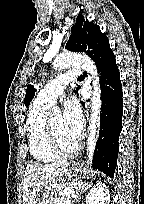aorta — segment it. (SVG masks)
<instances>
[{
	"instance_id": "obj_1",
	"label": "aorta",
	"mask_w": 144,
	"mask_h": 204,
	"mask_svg": "<svg viewBox=\"0 0 144 204\" xmlns=\"http://www.w3.org/2000/svg\"><path fill=\"white\" fill-rule=\"evenodd\" d=\"M56 69H65L71 66H77L85 69L92 78V97H91V114L89 120V137L87 140V164L91 165L93 161L98 132L100 127V112H101V88L98 76V70L95 63L87 56L75 53H63L58 55L53 62ZM53 114L59 113L54 109Z\"/></svg>"
}]
</instances>
